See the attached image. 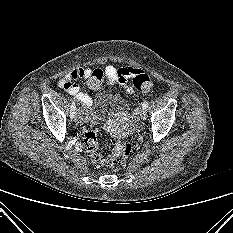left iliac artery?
Returning a JSON list of instances; mask_svg holds the SVG:
<instances>
[{"label": "left iliac artery", "instance_id": "obj_1", "mask_svg": "<svg viewBox=\"0 0 233 233\" xmlns=\"http://www.w3.org/2000/svg\"><path fill=\"white\" fill-rule=\"evenodd\" d=\"M142 107H143V109H147V107H148V101L147 100H145L144 102H143V104H142Z\"/></svg>", "mask_w": 233, "mask_h": 233}]
</instances>
